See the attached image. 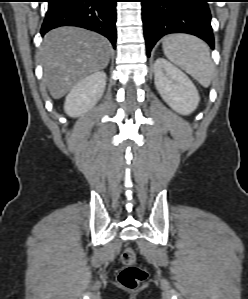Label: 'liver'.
<instances>
[{
    "label": "liver",
    "mask_w": 248,
    "mask_h": 299,
    "mask_svg": "<svg viewBox=\"0 0 248 299\" xmlns=\"http://www.w3.org/2000/svg\"><path fill=\"white\" fill-rule=\"evenodd\" d=\"M110 42L78 27L48 32L40 49L44 81L54 99L66 95L80 80L104 69L110 59Z\"/></svg>",
    "instance_id": "liver-1"
}]
</instances>
